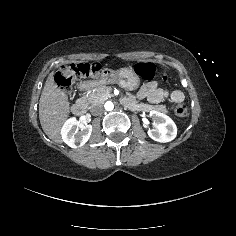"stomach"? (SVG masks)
<instances>
[{"instance_id": "1", "label": "stomach", "mask_w": 236, "mask_h": 236, "mask_svg": "<svg viewBox=\"0 0 236 236\" xmlns=\"http://www.w3.org/2000/svg\"><path fill=\"white\" fill-rule=\"evenodd\" d=\"M100 83H117L120 87L128 91H136L140 86V78L132 68H122L118 71L109 70L106 78Z\"/></svg>"}]
</instances>
